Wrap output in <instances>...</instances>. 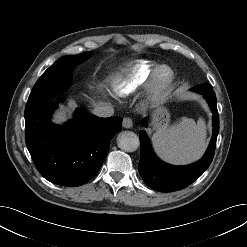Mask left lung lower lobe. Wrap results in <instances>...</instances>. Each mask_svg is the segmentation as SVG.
<instances>
[{"label": "left lung lower lobe", "instance_id": "0a47b994", "mask_svg": "<svg viewBox=\"0 0 247 247\" xmlns=\"http://www.w3.org/2000/svg\"><path fill=\"white\" fill-rule=\"evenodd\" d=\"M191 90L204 95L213 113V135L211 142L204 156L198 162L189 166H172L156 157L146 132L144 130L140 131L141 156L138 164L139 173L144 182L154 190L172 192L187 187L205 172L214 157L219 132L216 95L212 86L207 83L197 85L191 88ZM142 124L146 126V119L142 120Z\"/></svg>", "mask_w": 247, "mask_h": 247}]
</instances>
